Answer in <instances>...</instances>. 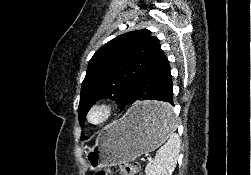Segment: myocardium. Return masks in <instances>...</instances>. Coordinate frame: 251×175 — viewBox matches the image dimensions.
<instances>
[{
    "mask_svg": "<svg viewBox=\"0 0 251 175\" xmlns=\"http://www.w3.org/2000/svg\"><path fill=\"white\" fill-rule=\"evenodd\" d=\"M96 108H102L106 112L105 118L100 122H94L91 117L92 112ZM120 111H121V108H120V105L117 101L110 99V98H102V99H98V100L92 102L89 105V107L86 111V119L90 125L97 127V128H102V127H106V126L110 125L112 122H114L118 118Z\"/></svg>",
    "mask_w": 251,
    "mask_h": 175,
    "instance_id": "obj_1",
    "label": "myocardium"
}]
</instances>
